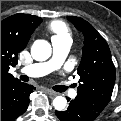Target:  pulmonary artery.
Instances as JSON below:
<instances>
[{
    "instance_id": "e3ab8cb5",
    "label": "pulmonary artery",
    "mask_w": 121,
    "mask_h": 121,
    "mask_svg": "<svg viewBox=\"0 0 121 121\" xmlns=\"http://www.w3.org/2000/svg\"><path fill=\"white\" fill-rule=\"evenodd\" d=\"M71 44L72 41L68 37L52 40V46H53L52 59L47 62L28 65L20 69V72L29 77H42L56 70L63 64L65 58L67 57L70 51ZM66 90L68 91L71 97L75 98L77 96V92L75 90L68 89L67 87Z\"/></svg>"
}]
</instances>
